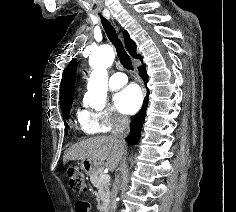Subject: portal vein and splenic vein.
<instances>
[{
	"label": "portal vein and splenic vein",
	"instance_id": "obj_1",
	"mask_svg": "<svg viewBox=\"0 0 236 212\" xmlns=\"http://www.w3.org/2000/svg\"><path fill=\"white\" fill-rule=\"evenodd\" d=\"M101 178H102L103 180H109V179H110V176H109V175H103Z\"/></svg>",
	"mask_w": 236,
	"mask_h": 212
}]
</instances>
